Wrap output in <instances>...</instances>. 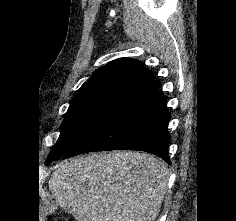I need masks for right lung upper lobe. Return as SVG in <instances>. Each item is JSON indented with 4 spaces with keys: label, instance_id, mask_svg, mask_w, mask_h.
<instances>
[{
    "label": "right lung upper lobe",
    "instance_id": "1",
    "mask_svg": "<svg viewBox=\"0 0 236 221\" xmlns=\"http://www.w3.org/2000/svg\"><path fill=\"white\" fill-rule=\"evenodd\" d=\"M158 81L150 70L140 65L138 60L120 58L97 69L75 93L73 99L102 92L123 91L136 94Z\"/></svg>",
    "mask_w": 236,
    "mask_h": 221
}]
</instances>
